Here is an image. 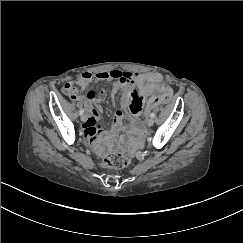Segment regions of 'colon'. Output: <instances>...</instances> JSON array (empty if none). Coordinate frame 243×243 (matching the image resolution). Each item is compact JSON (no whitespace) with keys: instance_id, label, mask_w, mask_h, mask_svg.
Listing matches in <instances>:
<instances>
[{"instance_id":"obj_1","label":"colon","mask_w":243,"mask_h":243,"mask_svg":"<svg viewBox=\"0 0 243 243\" xmlns=\"http://www.w3.org/2000/svg\"><path fill=\"white\" fill-rule=\"evenodd\" d=\"M169 100H170V97H165L163 99L162 104L168 103ZM128 163H129L128 157H126L125 155H123L122 153H119V152H113L103 160V164L106 167L115 168V169L123 168V167L127 166Z\"/></svg>"}]
</instances>
